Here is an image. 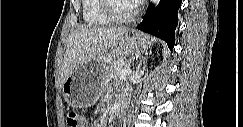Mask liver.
<instances>
[{
	"mask_svg": "<svg viewBox=\"0 0 243 127\" xmlns=\"http://www.w3.org/2000/svg\"><path fill=\"white\" fill-rule=\"evenodd\" d=\"M128 33L127 28L81 26L68 38L61 67V83L82 64L105 55L115 47L119 38Z\"/></svg>",
	"mask_w": 243,
	"mask_h": 127,
	"instance_id": "6515ba94",
	"label": "liver"
}]
</instances>
